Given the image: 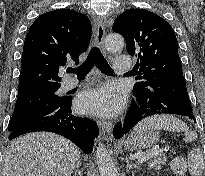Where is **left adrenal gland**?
I'll use <instances>...</instances> for the list:
<instances>
[{
	"instance_id": "obj_1",
	"label": "left adrenal gland",
	"mask_w": 205,
	"mask_h": 176,
	"mask_svg": "<svg viewBox=\"0 0 205 176\" xmlns=\"http://www.w3.org/2000/svg\"><path fill=\"white\" fill-rule=\"evenodd\" d=\"M134 169L136 170H140L138 164H134L132 161H130V159L128 157H126V170L129 173L130 170Z\"/></svg>"
}]
</instances>
